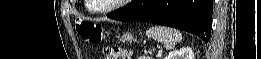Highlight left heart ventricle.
I'll return each instance as SVG.
<instances>
[{
  "mask_svg": "<svg viewBox=\"0 0 261 59\" xmlns=\"http://www.w3.org/2000/svg\"><path fill=\"white\" fill-rule=\"evenodd\" d=\"M116 2H117V0H92V1H90L93 8H99V9L107 8Z\"/></svg>",
  "mask_w": 261,
  "mask_h": 59,
  "instance_id": "left-heart-ventricle-1",
  "label": "left heart ventricle"
}]
</instances>
